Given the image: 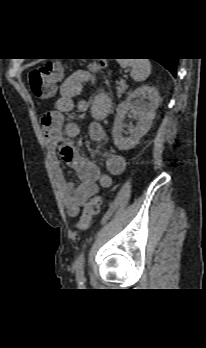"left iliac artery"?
<instances>
[{"label":"left iliac artery","instance_id":"44dca946","mask_svg":"<svg viewBox=\"0 0 206 348\" xmlns=\"http://www.w3.org/2000/svg\"><path fill=\"white\" fill-rule=\"evenodd\" d=\"M84 260H85V254L81 253L75 262V269L77 271V279L80 283L84 279Z\"/></svg>","mask_w":206,"mask_h":348}]
</instances>
